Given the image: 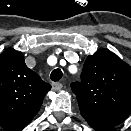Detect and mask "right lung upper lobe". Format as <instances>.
<instances>
[{"label": "right lung upper lobe", "mask_w": 131, "mask_h": 131, "mask_svg": "<svg viewBox=\"0 0 131 131\" xmlns=\"http://www.w3.org/2000/svg\"><path fill=\"white\" fill-rule=\"evenodd\" d=\"M51 85L29 69L23 54L8 49L0 54V126L19 130L39 111Z\"/></svg>", "instance_id": "1"}]
</instances>
